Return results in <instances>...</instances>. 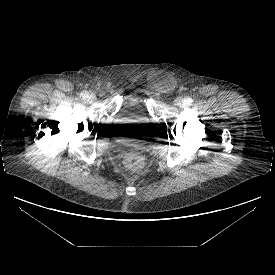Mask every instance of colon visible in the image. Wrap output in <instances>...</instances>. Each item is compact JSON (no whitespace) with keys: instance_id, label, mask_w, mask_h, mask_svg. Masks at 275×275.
<instances>
[{"instance_id":"1","label":"colon","mask_w":275,"mask_h":275,"mask_svg":"<svg viewBox=\"0 0 275 275\" xmlns=\"http://www.w3.org/2000/svg\"><path fill=\"white\" fill-rule=\"evenodd\" d=\"M122 161L124 165L131 170H139L144 165L143 156L139 152L131 149L126 150L122 154Z\"/></svg>"}]
</instances>
